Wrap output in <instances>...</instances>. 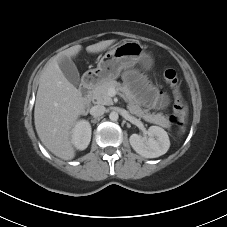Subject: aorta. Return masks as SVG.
<instances>
[{"instance_id":"aorta-1","label":"aorta","mask_w":227,"mask_h":227,"mask_svg":"<svg viewBox=\"0 0 227 227\" xmlns=\"http://www.w3.org/2000/svg\"><path fill=\"white\" fill-rule=\"evenodd\" d=\"M109 118H110L111 121H117L118 118H119L118 113L115 112V111L111 112L110 115H109Z\"/></svg>"}]
</instances>
